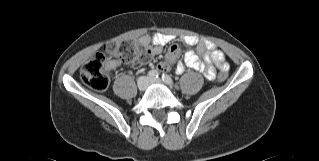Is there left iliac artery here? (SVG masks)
<instances>
[{
    "mask_svg": "<svg viewBox=\"0 0 319 161\" xmlns=\"http://www.w3.org/2000/svg\"><path fill=\"white\" fill-rule=\"evenodd\" d=\"M162 80H163L165 83L169 84V85H173V80H172L171 77H170L169 75H167V74H163V75H162Z\"/></svg>",
    "mask_w": 319,
    "mask_h": 161,
    "instance_id": "1",
    "label": "left iliac artery"
}]
</instances>
